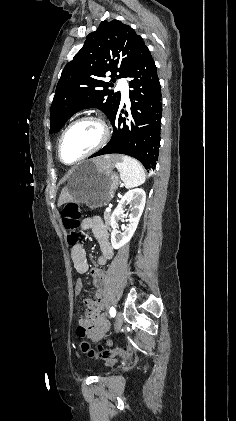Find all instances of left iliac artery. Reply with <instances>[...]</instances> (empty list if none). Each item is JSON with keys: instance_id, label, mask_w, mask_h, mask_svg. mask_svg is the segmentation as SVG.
<instances>
[{"instance_id": "obj_1", "label": "left iliac artery", "mask_w": 236, "mask_h": 421, "mask_svg": "<svg viewBox=\"0 0 236 421\" xmlns=\"http://www.w3.org/2000/svg\"><path fill=\"white\" fill-rule=\"evenodd\" d=\"M109 312H110V316L111 317H115V315H116V309L114 307H111Z\"/></svg>"}]
</instances>
